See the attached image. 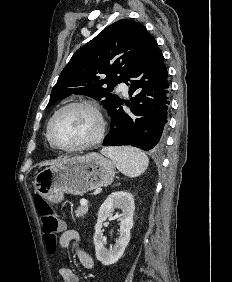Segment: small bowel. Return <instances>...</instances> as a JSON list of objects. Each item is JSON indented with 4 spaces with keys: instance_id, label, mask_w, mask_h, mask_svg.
I'll use <instances>...</instances> for the list:
<instances>
[{
    "instance_id": "small-bowel-1",
    "label": "small bowel",
    "mask_w": 232,
    "mask_h": 282,
    "mask_svg": "<svg viewBox=\"0 0 232 282\" xmlns=\"http://www.w3.org/2000/svg\"><path fill=\"white\" fill-rule=\"evenodd\" d=\"M81 238L77 231L65 229L59 239V245L61 251L69 248H73V252L79 262L87 269H92L94 261L92 257L85 252L80 246ZM59 274L63 282H80L78 275L67 265H62L59 269Z\"/></svg>"
}]
</instances>
